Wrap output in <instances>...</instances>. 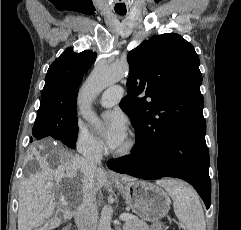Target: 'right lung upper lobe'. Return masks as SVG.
Masks as SVG:
<instances>
[{"instance_id": "1", "label": "right lung upper lobe", "mask_w": 241, "mask_h": 230, "mask_svg": "<svg viewBox=\"0 0 241 230\" xmlns=\"http://www.w3.org/2000/svg\"><path fill=\"white\" fill-rule=\"evenodd\" d=\"M96 56L91 50L75 53L67 48L47 71L38 111L76 109L78 87Z\"/></svg>"}]
</instances>
